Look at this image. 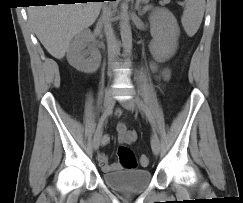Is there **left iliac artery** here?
Returning <instances> with one entry per match:
<instances>
[{
    "label": "left iliac artery",
    "mask_w": 243,
    "mask_h": 203,
    "mask_svg": "<svg viewBox=\"0 0 243 203\" xmlns=\"http://www.w3.org/2000/svg\"><path fill=\"white\" fill-rule=\"evenodd\" d=\"M135 100H136L138 106L145 112L148 120L150 121V123L153 127V130L156 132L155 123H154L153 117H152L148 107L145 105V103L142 101V99L139 96H136Z\"/></svg>",
    "instance_id": "obj_1"
}]
</instances>
